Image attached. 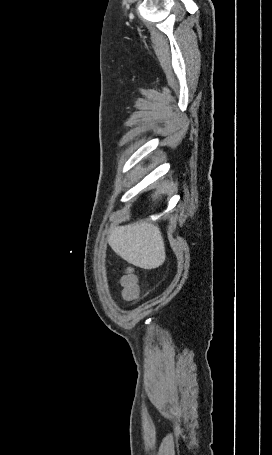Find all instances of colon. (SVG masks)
<instances>
[{
  "instance_id": "colon-1",
  "label": "colon",
  "mask_w": 272,
  "mask_h": 455,
  "mask_svg": "<svg viewBox=\"0 0 272 455\" xmlns=\"http://www.w3.org/2000/svg\"><path fill=\"white\" fill-rule=\"evenodd\" d=\"M122 294L128 301L135 300L139 295V285L132 270H127L121 278Z\"/></svg>"
}]
</instances>
